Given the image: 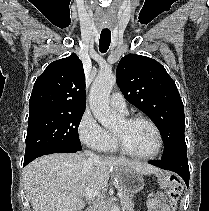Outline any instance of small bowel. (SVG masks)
Segmentation results:
<instances>
[{
  "label": "small bowel",
  "mask_w": 209,
  "mask_h": 211,
  "mask_svg": "<svg viewBox=\"0 0 209 211\" xmlns=\"http://www.w3.org/2000/svg\"><path fill=\"white\" fill-rule=\"evenodd\" d=\"M147 211H171L163 193H158L147 200Z\"/></svg>",
  "instance_id": "small-bowel-1"
}]
</instances>
